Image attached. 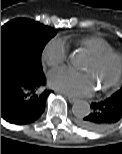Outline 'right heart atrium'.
<instances>
[{
  "mask_svg": "<svg viewBox=\"0 0 122 154\" xmlns=\"http://www.w3.org/2000/svg\"><path fill=\"white\" fill-rule=\"evenodd\" d=\"M68 55V46L61 38L51 39L44 47L42 59L50 68H58L62 66Z\"/></svg>",
  "mask_w": 122,
  "mask_h": 154,
  "instance_id": "right-heart-atrium-1",
  "label": "right heart atrium"
}]
</instances>
